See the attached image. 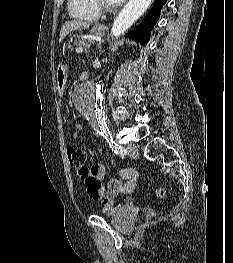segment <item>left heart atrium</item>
Masks as SVG:
<instances>
[{"label":"left heart atrium","instance_id":"39dd6f15","mask_svg":"<svg viewBox=\"0 0 233 263\" xmlns=\"http://www.w3.org/2000/svg\"><path fill=\"white\" fill-rule=\"evenodd\" d=\"M114 4H119L124 2L125 0H111Z\"/></svg>","mask_w":233,"mask_h":263}]
</instances>
